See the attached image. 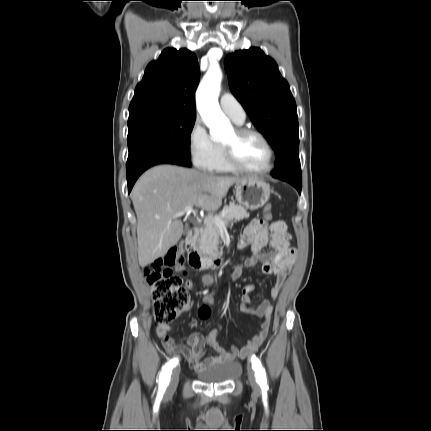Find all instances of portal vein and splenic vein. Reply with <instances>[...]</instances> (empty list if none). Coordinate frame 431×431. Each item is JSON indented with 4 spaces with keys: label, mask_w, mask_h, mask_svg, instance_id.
<instances>
[{
    "label": "portal vein and splenic vein",
    "mask_w": 431,
    "mask_h": 431,
    "mask_svg": "<svg viewBox=\"0 0 431 431\" xmlns=\"http://www.w3.org/2000/svg\"><path fill=\"white\" fill-rule=\"evenodd\" d=\"M185 213H187V214H189V213L196 214V212L193 209V206H187V207H185V209L183 211L177 212L173 217L174 218H178V217L183 216ZM209 219L213 220L215 222V224L217 226H219V227H224L225 226V222L219 220L218 218L208 217L205 220H209Z\"/></svg>",
    "instance_id": "obj_1"
}]
</instances>
